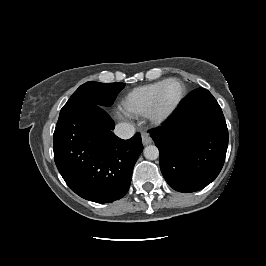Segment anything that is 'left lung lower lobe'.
<instances>
[{
  "mask_svg": "<svg viewBox=\"0 0 266 266\" xmlns=\"http://www.w3.org/2000/svg\"><path fill=\"white\" fill-rule=\"evenodd\" d=\"M167 183L179 192L203 189L220 173L228 146L221 107L206 89H198L178 106L163 128L152 132Z\"/></svg>",
  "mask_w": 266,
  "mask_h": 266,
  "instance_id": "left-lung-lower-lobe-1",
  "label": "left lung lower lobe"
}]
</instances>
